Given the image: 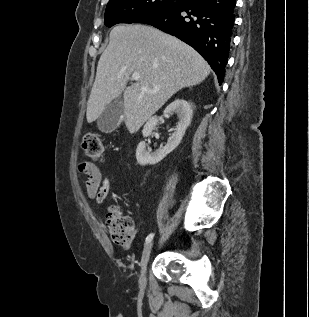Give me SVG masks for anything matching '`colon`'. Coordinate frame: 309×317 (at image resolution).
Masks as SVG:
<instances>
[{
  "mask_svg": "<svg viewBox=\"0 0 309 317\" xmlns=\"http://www.w3.org/2000/svg\"><path fill=\"white\" fill-rule=\"evenodd\" d=\"M82 147L85 154L93 160H98L103 155L102 142L93 132H86L83 135ZM106 228L115 244L124 248L131 245L135 234V223L131 217L117 208H110L106 217Z\"/></svg>",
  "mask_w": 309,
  "mask_h": 317,
  "instance_id": "1",
  "label": "colon"
}]
</instances>
